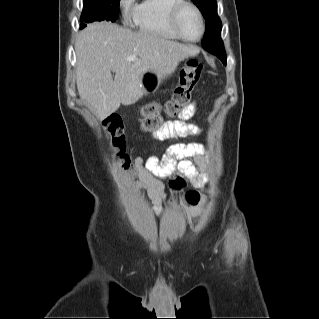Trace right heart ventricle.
Returning <instances> with one entry per match:
<instances>
[{
    "label": "right heart ventricle",
    "mask_w": 319,
    "mask_h": 319,
    "mask_svg": "<svg viewBox=\"0 0 319 319\" xmlns=\"http://www.w3.org/2000/svg\"><path fill=\"white\" fill-rule=\"evenodd\" d=\"M180 0H142L134 7L131 18L140 31L165 39H177L169 27L171 8Z\"/></svg>",
    "instance_id": "obj_1"
}]
</instances>
